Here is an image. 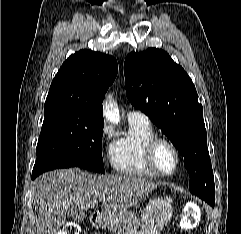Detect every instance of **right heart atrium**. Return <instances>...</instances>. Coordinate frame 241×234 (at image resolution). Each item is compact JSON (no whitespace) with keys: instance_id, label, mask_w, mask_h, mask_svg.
<instances>
[{"instance_id":"1","label":"right heart atrium","mask_w":241,"mask_h":234,"mask_svg":"<svg viewBox=\"0 0 241 234\" xmlns=\"http://www.w3.org/2000/svg\"><path fill=\"white\" fill-rule=\"evenodd\" d=\"M111 135H112V128L109 125H104L100 133L101 141L105 143L110 138Z\"/></svg>"}]
</instances>
